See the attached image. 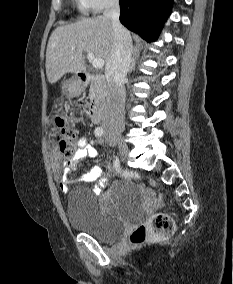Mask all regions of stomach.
Returning <instances> with one entry per match:
<instances>
[{"label":"stomach","instance_id":"0dacf381","mask_svg":"<svg viewBox=\"0 0 233 284\" xmlns=\"http://www.w3.org/2000/svg\"><path fill=\"white\" fill-rule=\"evenodd\" d=\"M81 90V84L74 80L66 81L62 86V91L66 95H77L81 92Z\"/></svg>","mask_w":233,"mask_h":284}]
</instances>
